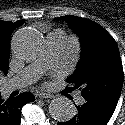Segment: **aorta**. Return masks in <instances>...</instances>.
<instances>
[{"label": "aorta", "mask_w": 125, "mask_h": 125, "mask_svg": "<svg viewBox=\"0 0 125 125\" xmlns=\"http://www.w3.org/2000/svg\"><path fill=\"white\" fill-rule=\"evenodd\" d=\"M15 50L23 59H31L38 55L41 46V35L33 29H21L14 37ZM75 107L71 101L64 97H58L51 101L49 113L57 121H68L75 115Z\"/></svg>", "instance_id": "1"}]
</instances>
